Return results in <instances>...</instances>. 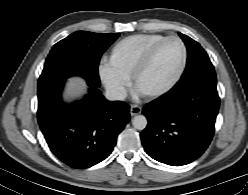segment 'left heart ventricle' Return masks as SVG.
I'll return each mask as SVG.
<instances>
[{
  "instance_id": "1",
  "label": "left heart ventricle",
  "mask_w": 248,
  "mask_h": 195,
  "mask_svg": "<svg viewBox=\"0 0 248 195\" xmlns=\"http://www.w3.org/2000/svg\"><path fill=\"white\" fill-rule=\"evenodd\" d=\"M183 57L178 40L166 42L158 51L152 65L139 81L141 91H154L166 86L176 75Z\"/></svg>"
}]
</instances>
